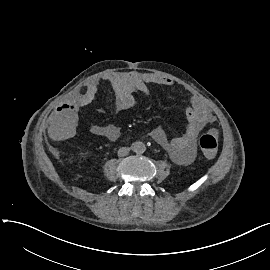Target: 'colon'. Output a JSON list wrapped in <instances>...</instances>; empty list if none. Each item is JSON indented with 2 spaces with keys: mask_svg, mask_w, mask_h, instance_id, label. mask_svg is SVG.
<instances>
[{
  "mask_svg": "<svg viewBox=\"0 0 270 270\" xmlns=\"http://www.w3.org/2000/svg\"><path fill=\"white\" fill-rule=\"evenodd\" d=\"M201 152L207 156H213L218 149V138L214 132L203 134L198 141Z\"/></svg>",
  "mask_w": 270,
  "mask_h": 270,
  "instance_id": "obj_1",
  "label": "colon"
}]
</instances>
